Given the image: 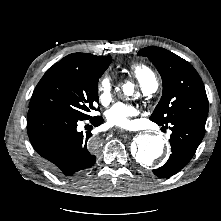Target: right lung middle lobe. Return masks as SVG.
Listing matches in <instances>:
<instances>
[{"instance_id":"dd1d6c3e","label":"right lung middle lobe","mask_w":221,"mask_h":221,"mask_svg":"<svg viewBox=\"0 0 221 221\" xmlns=\"http://www.w3.org/2000/svg\"><path fill=\"white\" fill-rule=\"evenodd\" d=\"M111 61L98 68H80L68 63L54 64L37 84L29 109H44L91 119L98 109V80Z\"/></svg>"}]
</instances>
